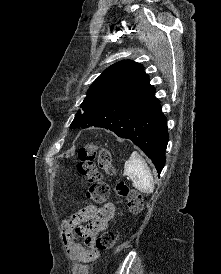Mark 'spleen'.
<instances>
[{"instance_id": "3e777b00", "label": "spleen", "mask_w": 221, "mask_h": 274, "mask_svg": "<svg viewBox=\"0 0 221 274\" xmlns=\"http://www.w3.org/2000/svg\"><path fill=\"white\" fill-rule=\"evenodd\" d=\"M124 174L132 180L135 189L144 193L153 191L154 180L150 168L136 151H133L130 158L126 161Z\"/></svg>"}]
</instances>
